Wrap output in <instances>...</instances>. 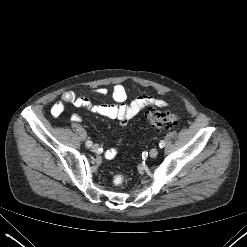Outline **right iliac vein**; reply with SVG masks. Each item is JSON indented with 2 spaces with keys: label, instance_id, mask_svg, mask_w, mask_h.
<instances>
[{
  "label": "right iliac vein",
  "instance_id": "obj_1",
  "mask_svg": "<svg viewBox=\"0 0 247 247\" xmlns=\"http://www.w3.org/2000/svg\"><path fill=\"white\" fill-rule=\"evenodd\" d=\"M98 149H99V146H98L97 144H94V145L92 146V148H91V150H92L93 152H97Z\"/></svg>",
  "mask_w": 247,
  "mask_h": 247
}]
</instances>
